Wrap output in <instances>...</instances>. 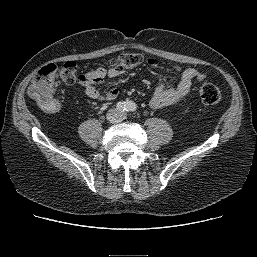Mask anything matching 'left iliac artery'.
Here are the masks:
<instances>
[{"mask_svg": "<svg viewBox=\"0 0 257 257\" xmlns=\"http://www.w3.org/2000/svg\"><path fill=\"white\" fill-rule=\"evenodd\" d=\"M125 110L127 112H134L137 110V105L133 101H127Z\"/></svg>", "mask_w": 257, "mask_h": 257, "instance_id": "1", "label": "left iliac artery"}]
</instances>
